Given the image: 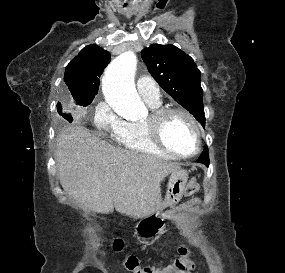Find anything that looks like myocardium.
<instances>
[{
  "label": "myocardium",
  "instance_id": "f54148a6",
  "mask_svg": "<svg viewBox=\"0 0 285 273\" xmlns=\"http://www.w3.org/2000/svg\"><path fill=\"white\" fill-rule=\"evenodd\" d=\"M171 114H180L186 117L195 129L196 134V147L191 154H179L172 151L164 142L162 138V127L168 116ZM147 132L152 139V141L158 146L162 151L169 154L174 158L179 159H190L199 154L202 148V128L198 120L186 109L181 107H160L153 109L148 119L144 122Z\"/></svg>",
  "mask_w": 285,
  "mask_h": 273
}]
</instances>
